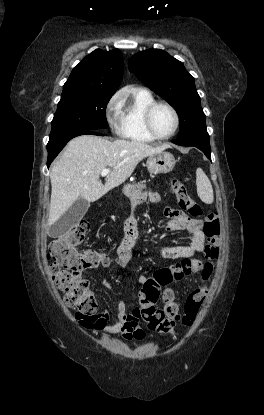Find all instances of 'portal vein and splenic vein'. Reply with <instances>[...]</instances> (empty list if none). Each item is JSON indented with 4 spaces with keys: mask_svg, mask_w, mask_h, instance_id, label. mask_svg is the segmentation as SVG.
Segmentation results:
<instances>
[{
    "mask_svg": "<svg viewBox=\"0 0 264 415\" xmlns=\"http://www.w3.org/2000/svg\"><path fill=\"white\" fill-rule=\"evenodd\" d=\"M109 173H110V169H108V168H105L101 171V175L103 177H106L107 175H109Z\"/></svg>",
    "mask_w": 264,
    "mask_h": 415,
    "instance_id": "obj_1",
    "label": "portal vein and splenic vein"
}]
</instances>
